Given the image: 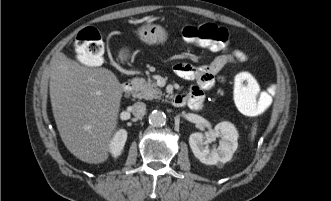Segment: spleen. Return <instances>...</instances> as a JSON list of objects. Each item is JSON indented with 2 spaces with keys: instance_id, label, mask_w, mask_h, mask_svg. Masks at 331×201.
I'll return each instance as SVG.
<instances>
[{
  "instance_id": "3e777b00",
  "label": "spleen",
  "mask_w": 331,
  "mask_h": 201,
  "mask_svg": "<svg viewBox=\"0 0 331 201\" xmlns=\"http://www.w3.org/2000/svg\"><path fill=\"white\" fill-rule=\"evenodd\" d=\"M256 130H257V125L254 124V126L252 127V132H251V140L254 139V137L256 135Z\"/></svg>"
}]
</instances>
